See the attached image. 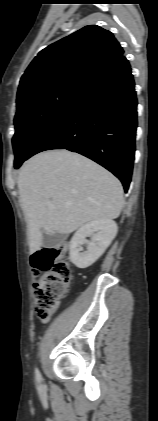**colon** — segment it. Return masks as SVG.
Listing matches in <instances>:
<instances>
[{
	"instance_id": "5ec220e1",
	"label": "colon",
	"mask_w": 158,
	"mask_h": 421,
	"mask_svg": "<svg viewBox=\"0 0 158 421\" xmlns=\"http://www.w3.org/2000/svg\"><path fill=\"white\" fill-rule=\"evenodd\" d=\"M65 244L39 249L31 256L35 281L33 293L35 314L40 319L53 315L72 281L70 264L63 259Z\"/></svg>"
}]
</instances>
